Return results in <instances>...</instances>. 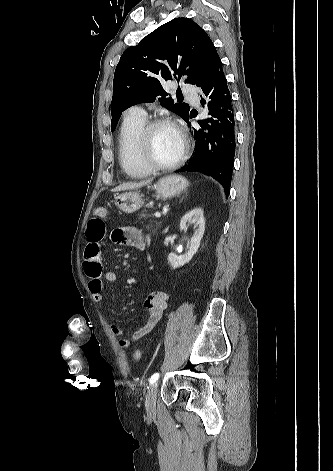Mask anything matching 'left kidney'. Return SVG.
Listing matches in <instances>:
<instances>
[{"mask_svg": "<svg viewBox=\"0 0 333 471\" xmlns=\"http://www.w3.org/2000/svg\"><path fill=\"white\" fill-rule=\"evenodd\" d=\"M189 224H194V226H197L198 228L191 237L190 246L188 247V250L185 254L178 256L175 253H170L168 255V263L173 269L182 267L192 259L194 254H196L205 231V218L203 209L194 208L193 210L186 213L180 221V230L187 229Z\"/></svg>", "mask_w": 333, "mask_h": 471, "instance_id": "obj_1", "label": "left kidney"}]
</instances>
